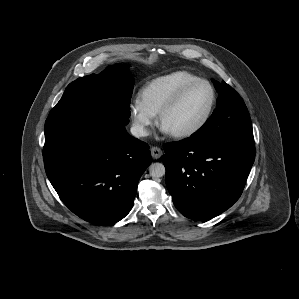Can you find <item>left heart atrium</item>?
<instances>
[{"label": "left heart atrium", "mask_w": 299, "mask_h": 299, "mask_svg": "<svg viewBox=\"0 0 299 299\" xmlns=\"http://www.w3.org/2000/svg\"><path fill=\"white\" fill-rule=\"evenodd\" d=\"M161 131L165 134H170L166 129H164L163 127L161 128Z\"/></svg>", "instance_id": "39dd6f15"}]
</instances>
